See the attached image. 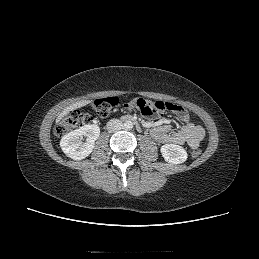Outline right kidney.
Segmentation results:
<instances>
[{"label": "right kidney", "instance_id": "ca27d5eb", "mask_svg": "<svg viewBox=\"0 0 259 259\" xmlns=\"http://www.w3.org/2000/svg\"><path fill=\"white\" fill-rule=\"evenodd\" d=\"M99 135L100 128L95 124H88L63 136L60 146L68 157L81 160L93 151L95 141ZM83 136L87 137L85 142H82Z\"/></svg>", "mask_w": 259, "mask_h": 259}]
</instances>
